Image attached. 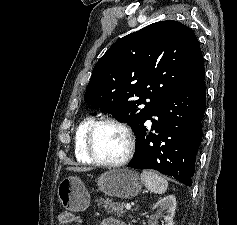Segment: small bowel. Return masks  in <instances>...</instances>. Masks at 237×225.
<instances>
[{"label":"small bowel","mask_w":237,"mask_h":225,"mask_svg":"<svg viewBox=\"0 0 237 225\" xmlns=\"http://www.w3.org/2000/svg\"><path fill=\"white\" fill-rule=\"evenodd\" d=\"M101 225H125L122 221L114 218L105 219Z\"/></svg>","instance_id":"obj_1"}]
</instances>
